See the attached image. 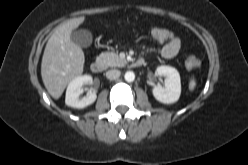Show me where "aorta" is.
<instances>
[{
    "label": "aorta",
    "instance_id": "1",
    "mask_svg": "<svg viewBox=\"0 0 248 165\" xmlns=\"http://www.w3.org/2000/svg\"><path fill=\"white\" fill-rule=\"evenodd\" d=\"M124 78L127 82H132L135 79V74L132 71H127L124 75Z\"/></svg>",
    "mask_w": 248,
    "mask_h": 165
}]
</instances>
